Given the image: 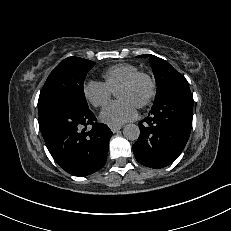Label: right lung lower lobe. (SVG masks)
I'll return each mask as SVG.
<instances>
[{
    "label": "right lung lower lobe",
    "mask_w": 231,
    "mask_h": 231,
    "mask_svg": "<svg viewBox=\"0 0 231 231\" xmlns=\"http://www.w3.org/2000/svg\"><path fill=\"white\" fill-rule=\"evenodd\" d=\"M39 126L52 157L69 174L83 177L105 165L112 132L88 107L56 106L39 115Z\"/></svg>",
    "instance_id": "1"
}]
</instances>
